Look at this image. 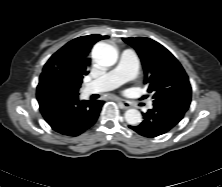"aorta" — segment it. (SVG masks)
<instances>
[{
    "instance_id": "1",
    "label": "aorta",
    "mask_w": 222,
    "mask_h": 187,
    "mask_svg": "<svg viewBox=\"0 0 222 187\" xmlns=\"http://www.w3.org/2000/svg\"><path fill=\"white\" fill-rule=\"evenodd\" d=\"M94 61L101 66H112L117 61L116 49L105 42L97 43L92 50ZM125 120L129 125L136 126L141 123L142 115L137 109H129L125 112Z\"/></svg>"
}]
</instances>
